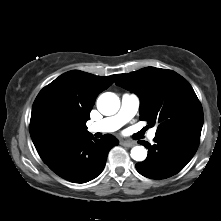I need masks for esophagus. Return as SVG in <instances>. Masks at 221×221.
Segmentation results:
<instances>
[{"instance_id": "esophagus-1", "label": "esophagus", "mask_w": 221, "mask_h": 221, "mask_svg": "<svg viewBox=\"0 0 221 221\" xmlns=\"http://www.w3.org/2000/svg\"><path fill=\"white\" fill-rule=\"evenodd\" d=\"M121 145H123L124 147H132V146L135 145V143L126 140V141H122V142H121Z\"/></svg>"}]
</instances>
